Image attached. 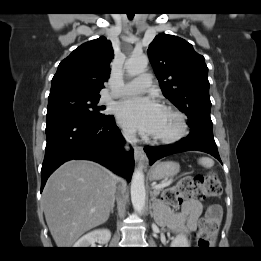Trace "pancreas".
I'll return each mask as SVG.
<instances>
[{
  "label": "pancreas",
  "mask_w": 261,
  "mask_h": 261,
  "mask_svg": "<svg viewBox=\"0 0 261 261\" xmlns=\"http://www.w3.org/2000/svg\"><path fill=\"white\" fill-rule=\"evenodd\" d=\"M163 190V188H158V189H154L151 194L152 196H158L160 194V192Z\"/></svg>",
  "instance_id": "obj_1"
}]
</instances>
